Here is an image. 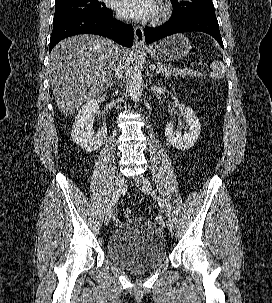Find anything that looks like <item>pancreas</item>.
<instances>
[{"label":"pancreas","mask_w":272,"mask_h":303,"mask_svg":"<svg viewBox=\"0 0 272 303\" xmlns=\"http://www.w3.org/2000/svg\"><path fill=\"white\" fill-rule=\"evenodd\" d=\"M157 66L162 68L163 71L161 72L163 76L170 78L172 75H191L192 72L190 69H174L172 66L163 64L161 62L157 63Z\"/></svg>","instance_id":"cf45deb5"}]
</instances>
